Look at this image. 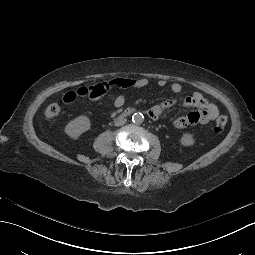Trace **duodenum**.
Wrapping results in <instances>:
<instances>
[{
  "instance_id": "duodenum-1",
  "label": "duodenum",
  "mask_w": 255,
  "mask_h": 255,
  "mask_svg": "<svg viewBox=\"0 0 255 255\" xmlns=\"http://www.w3.org/2000/svg\"><path fill=\"white\" fill-rule=\"evenodd\" d=\"M132 112H134V109L133 108H127L123 111V115H129L131 114ZM149 114H151V112L149 111L148 112Z\"/></svg>"
}]
</instances>
